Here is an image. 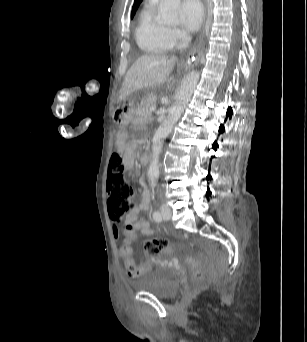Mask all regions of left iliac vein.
Listing matches in <instances>:
<instances>
[{
  "mask_svg": "<svg viewBox=\"0 0 307 342\" xmlns=\"http://www.w3.org/2000/svg\"><path fill=\"white\" fill-rule=\"evenodd\" d=\"M161 216L164 220H170L172 216V212L168 206L161 207Z\"/></svg>",
  "mask_w": 307,
  "mask_h": 342,
  "instance_id": "1",
  "label": "left iliac vein"
}]
</instances>
